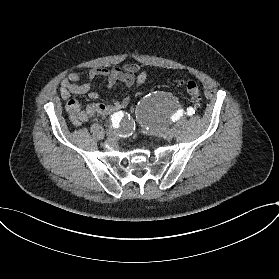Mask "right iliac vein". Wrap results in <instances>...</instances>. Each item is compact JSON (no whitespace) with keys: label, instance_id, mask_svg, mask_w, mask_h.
Instances as JSON below:
<instances>
[{"label":"right iliac vein","instance_id":"obj_1","mask_svg":"<svg viewBox=\"0 0 279 279\" xmlns=\"http://www.w3.org/2000/svg\"><path fill=\"white\" fill-rule=\"evenodd\" d=\"M108 134H109V136H110L111 138H114V137L116 136V134L114 133V130H113V129H110V130L108 131Z\"/></svg>","mask_w":279,"mask_h":279}]
</instances>
